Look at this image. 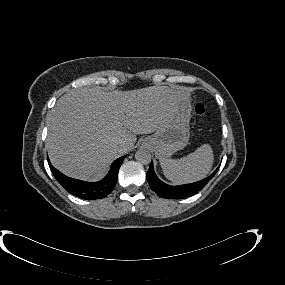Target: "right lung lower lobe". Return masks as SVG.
<instances>
[{"label":"right lung lower lobe","instance_id":"1","mask_svg":"<svg viewBox=\"0 0 285 285\" xmlns=\"http://www.w3.org/2000/svg\"><path fill=\"white\" fill-rule=\"evenodd\" d=\"M124 158L125 156H122L114 161L107 176L101 181L95 183L85 182L65 176L52 166L49 159L48 164L55 178L67 190V192L82 199L95 200L104 198L111 193L117 182L118 171Z\"/></svg>","mask_w":285,"mask_h":285}]
</instances>
